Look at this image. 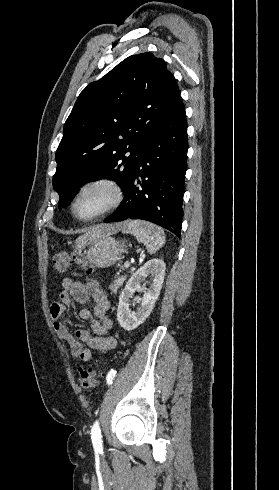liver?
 I'll return each mask as SVG.
<instances>
[{"mask_svg":"<svg viewBox=\"0 0 279 490\" xmlns=\"http://www.w3.org/2000/svg\"><path fill=\"white\" fill-rule=\"evenodd\" d=\"M124 224H104V226H93V228H87L83 236L77 238L75 244L77 248H85L91 240H98V238H105V236H111L116 234L119 230H123Z\"/></svg>","mask_w":279,"mask_h":490,"instance_id":"1","label":"liver"}]
</instances>
